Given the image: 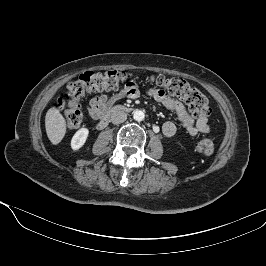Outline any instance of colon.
I'll return each instance as SVG.
<instances>
[{
  "mask_svg": "<svg viewBox=\"0 0 266 266\" xmlns=\"http://www.w3.org/2000/svg\"><path fill=\"white\" fill-rule=\"evenodd\" d=\"M128 79V75L120 70H108L104 72L87 71L68 84L66 93L58 98L60 107L67 106L64 113L65 123L69 129L78 128L83 121L81 99L92 92L117 90ZM152 83L169 95L183 100L190 111L197 115L209 114V101L197 88L180 78H167L165 76H153ZM215 144L211 138H203L196 144V151L204 156L213 154Z\"/></svg>",
  "mask_w": 266,
  "mask_h": 266,
  "instance_id": "5ec220e1",
  "label": "colon"
}]
</instances>
